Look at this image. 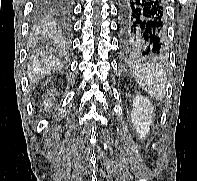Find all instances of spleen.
Returning a JSON list of instances; mask_svg holds the SVG:
<instances>
[{
    "label": "spleen",
    "instance_id": "spleen-1",
    "mask_svg": "<svg viewBox=\"0 0 197 181\" xmlns=\"http://www.w3.org/2000/svg\"><path fill=\"white\" fill-rule=\"evenodd\" d=\"M135 79L151 96L162 100L165 96V74L154 64H141L134 69Z\"/></svg>",
    "mask_w": 197,
    "mask_h": 181
}]
</instances>
